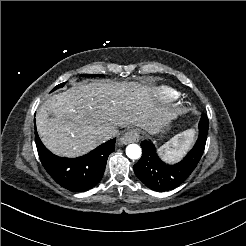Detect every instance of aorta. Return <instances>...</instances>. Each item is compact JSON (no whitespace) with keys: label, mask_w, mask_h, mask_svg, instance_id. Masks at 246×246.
I'll use <instances>...</instances> for the list:
<instances>
[{"label":"aorta","mask_w":246,"mask_h":246,"mask_svg":"<svg viewBox=\"0 0 246 246\" xmlns=\"http://www.w3.org/2000/svg\"><path fill=\"white\" fill-rule=\"evenodd\" d=\"M142 150L141 147L137 144H129L126 147V155L130 159H139L141 157Z\"/></svg>","instance_id":"obj_1"}]
</instances>
